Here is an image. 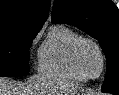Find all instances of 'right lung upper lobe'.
I'll return each instance as SVG.
<instances>
[{
  "mask_svg": "<svg viewBox=\"0 0 119 95\" xmlns=\"http://www.w3.org/2000/svg\"><path fill=\"white\" fill-rule=\"evenodd\" d=\"M49 7L50 0H0V33L15 27L41 29Z\"/></svg>",
  "mask_w": 119,
  "mask_h": 95,
  "instance_id": "obj_1",
  "label": "right lung upper lobe"
}]
</instances>
